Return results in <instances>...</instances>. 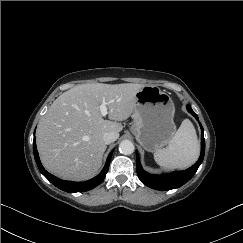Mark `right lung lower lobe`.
Segmentation results:
<instances>
[{
    "label": "right lung lower lobe",
    "mask_w": 243,
    "mask_h": 243,
    "mask_svg": "<svg viewBox=\"0 0 243 243\" xmlns=\"http://www.w3.org/2000/svg\"><path fill=\"white\" fill-rule=\"evenodd\" d=\"M33 152H34L35 161L37 163V166H38L40 172L53 185H55L56 187H58L61 190L69 192V193L88 191V190H91V189L95 188L99 184H101L102 181L105 179V176H106V174L108 172L110 161H111V157H112V152H111L109 154L107 160H106V164H105L103 170L101 171V173L99 175H97L93 179H90V180H88L86 182H72V181L61 180V179L53 176L52 174L48 173L43 168V166H42V164L40 162L39 156H38V151H37V148H36L35 138H34V141H33Z\"/></svg>",
    "instance_id": "obj_1"
}]
</instances>
